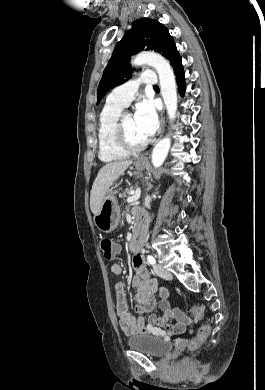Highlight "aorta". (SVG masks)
Masks as SVG:
<instances>
[{
  "label": "aorta",
  "instance_id": "aorta-1",
  "mask_svg": "<svg viewBox=\"0 0 265 390\" xmlns=\"http://www.w3.org/2000/svg\"><path fill=\"white\" fill-rule=\"evenodd\" d=\"M134 66L147 64L153 67L159 76L161 94L167 109L169 119L173 121L177 112V90L173 70L170 63L160 54L147 52L138 54L132 61ZM171 145L170 137L160 140L152 152V164L160 167L165 161Z\"/></svg>",
  "mask_w": 265,
  "mask_h": 390
}]
</instances>
